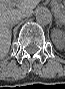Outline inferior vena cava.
<instances>
[{
	"instance_id": "obj_1",
	"label": "inferior vena cava",
	"mask_w": 65,
	"mask_h": 89,
	"mask_svg": "<svg viewBox=\"0 0 65 89\" xmlns=\"http://www.w3.org/2000/svg\"><path fill=\"white\" fill-rule=\"evenodd\" d=\"M24 17H25V15H20V16H18V17H15V18L11 21V24L13 25V24L17 23L19 20H21V19L24 18Z\"/></svg>"
}]
</instances>
